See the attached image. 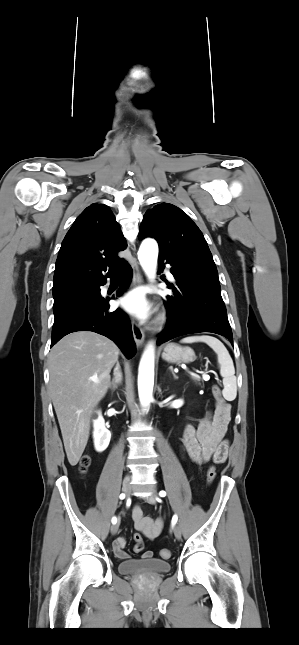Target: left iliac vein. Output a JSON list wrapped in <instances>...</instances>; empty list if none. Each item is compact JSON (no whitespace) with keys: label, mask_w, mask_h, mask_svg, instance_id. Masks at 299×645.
<instances>
[{"label":"left iliac vein","mask_w":299,"mask_h":645,"mask_svg":"<svg viewBox=\"0 0 299 645\" xmlns=\"http://www.w3.org/2000/svg\"><path fill=\"white\" fill-rule=\"evenodd\" d=\"M145 500L150 503V504H155L157 500V496L155 494H151L145 498ZM173 532L175 537L180 540L181 539V529L178 525L173 526Z\"/></svg>","instance_id":"4c4485c4"}]
</instances>
